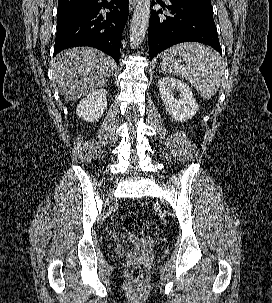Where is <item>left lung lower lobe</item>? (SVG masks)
Masks as SVG:
<instances>
[{
    "label": "left lung lower lobe",
    "mask_w": 272,
    "mask_h": 303,
    "mask_svg": "<svg viewBox=\"0 0 272 303\" xmlns=\"http://www.w3.org/2000/svg\"><path fill=\"white\" fill-rule=\"evenodd\" d=\"M155 2L161 4L168 14H162V10L151 13L148 35L150 59L172 45L187 41L207 44L222 55L211 3L170 0L171 5L165 7L161 0H153L152 4Z\"/></svg>",
    "instance_id": "1"
}]
</instances>
